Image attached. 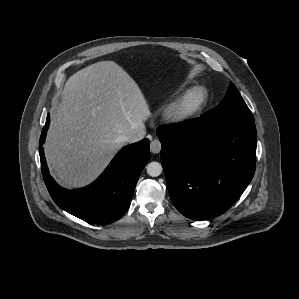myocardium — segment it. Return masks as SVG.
Segmentation results:
<instances>
[{
	"instance_id": "obj_1",
	"label": "myocardium",
	"mask_w": 299,
	"mask_h": 299,
	"mask_svg": "<svg viewBox=\"0 0 299 299\" xmlns=\"http://www.w3.org/2000/svg\"><path fill=\"white\" fill-rule=\"evenodd\" d=\"M208 101V91L202 86L187 90L170 108L168 118L176 123L188 122L196 118Z\"/></svg>"
}]
</instances>
